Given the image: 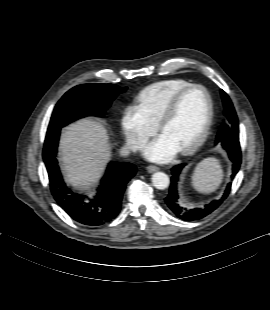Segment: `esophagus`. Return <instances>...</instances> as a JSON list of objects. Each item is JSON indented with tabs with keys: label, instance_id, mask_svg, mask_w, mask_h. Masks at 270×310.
<instances>
[{
	"label": "esophagus",
	"instance_id": "obj_1",
	"mask_svg": "<svg viewBox=\"0 0 270 310\" xmlns=\"http://www.w3.org/2000/svg\"><path fill=\"white\" fill-rule=\"evenodd\" d=\"M147 171L149 172V173H153V172H156V171H158L159 170V167L158 166H155V165H149V166H147Z\"/></svg>",
	"mask_w": 270,
	"mask_h": 310
}]
</instances>
